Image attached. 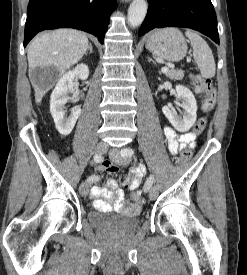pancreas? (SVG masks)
<instances>
[{
    "label": "pancreas",
    "instance_id": "obj_1",
    "mask_svg": "<svg viewBox=\"0 0 247 275\" xmlns=\"http://www.w3.org/2000/svg\"><path fill=\"white\" fill-rule=\"evenodd\" d=\"M166 76L170 79L182 80L184 77V73H183V71H179V70H169L166 73Z\"/></svg>",
    "mask_w": 247,
    "mask_h": 275
}]
</instances>
